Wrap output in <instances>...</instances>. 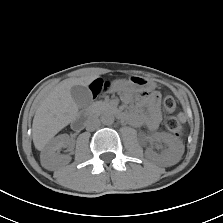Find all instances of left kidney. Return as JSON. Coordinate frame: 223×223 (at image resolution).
<instances>
[{
  "instance_id": "1",
  "label": "left kidney",
  "mask_w": 223,
  "mask_h": 223,
  "mask_svg": "<svg viewBox=\"0 0 223 223\" xmlns=\"http://www.w3.org/2000/svg\"><path fill=\"white\" fill-rule=\"evenodd\" d=\"M154 139L159 142H163L167 146V148L163 150L161 153H156L151 149H148L146 151V156L150 160L166 166L173 165L180 160L184 151V147L179 140H177L171 134L163 132L155 133Z\"/></svg>"
}]
</instances>
